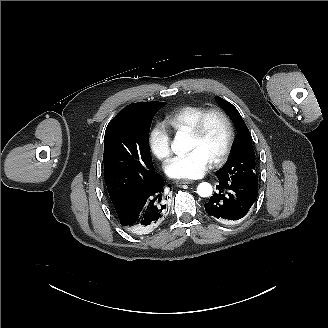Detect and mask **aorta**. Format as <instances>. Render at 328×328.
<instances>
[{"label": "aorta", "mask_w": 328, "mask_h": 328, "mask_svg": "<svg viewBox=\"0 0 328 328\" xmlns=\"http://www.w3.org/2000/svg\"><path fill=\"white\" fill-rule=\"evenodd\" d=\"M171 148L172 151L178 155L190 151L192 149L190 137L182 132H178L173 140ZM212 191L211 184L207 182H202L197 187V193L201 197L211 196Z\"/></svg>", "instance_id": "aorta-1"}]
</instances>
